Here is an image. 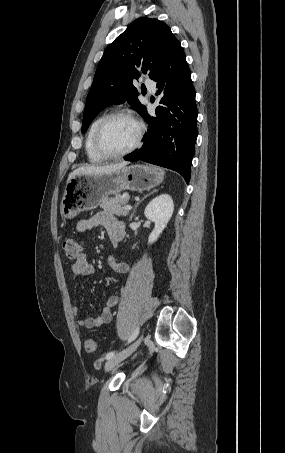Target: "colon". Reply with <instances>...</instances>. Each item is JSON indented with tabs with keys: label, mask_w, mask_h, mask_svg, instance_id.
I'll return each mask as SVG.
<instances>
[{
	"label": "colon",
	"mask_w": 285,
	"mask_h": 453,
	"mask_svg": "<svg viewBox=\"0 0 285 453\" xmlns=\"http://www.w3.org/2000/svg\"><path fill=\"white\" fill-rule=\"evenodd\" d=\"M62 247L65 255L70 260H76L83 250L82 242L74 236H66L63 240ZM84 348L88 353L97 351V345L92 338H86L84 341Z\"/></svg>",
	"instance_id": "1"
}]
</instances>
